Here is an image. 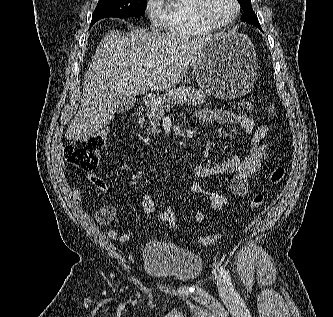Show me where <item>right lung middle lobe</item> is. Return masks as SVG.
Returning <instances> with one entry per match:
<instances>
[{
	"instance_id": "dd1d6c3e",
	"label": "right lung middle lobe",
	"mask_w": 333,
	"mask_h": 317,
	"mask_svg": "<svg viewBox=\"0 0 333 317\" xmlns=\"http://www.w3.org/2000/svg\"><path fill=\"white\" fill-rule=\"evenodd\" d=\"M147 0H99L92 15L91 26L106 17L124 18L144 14Z\"/></svg>"
}]
</instances>
